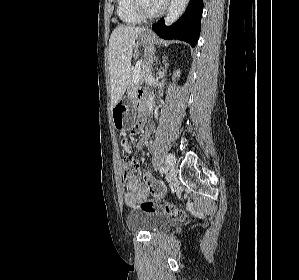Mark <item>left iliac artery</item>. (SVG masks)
<instances>
[{
	"instance_id": "left-iliac-artery-1",
	"label": "left iliac artery",
	"mask_w": 299,
	"mask_h": 280,
	"mask_svg": "<svg viewBox=\"0 0 299 280\" xmlns=\"http://www.w3.org/2000/svg\"><path fill=\"white\" fill-rule=\"evenodd\" d=\"M175 162V157L173 154H168L166 156V164L168 165H173V163ZM164 171V169H162Z\"/></svg>"
}]
</instances>
